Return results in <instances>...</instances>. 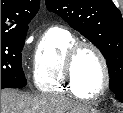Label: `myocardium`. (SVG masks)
<instances>
[{"mask_svg":"<svg viewBox=\"0 0 123 113\" xmlns=\"http://www.w3.org/2000/svg\"><path fill=\"white\" fill-rule=\"evenodd\" d=\"M85 49H90L92 50L99 58L102 68H103V85L101 89L96 92L95 94H83L79 91L76 79H75V74H74V66L76 59L80 55V53L85 50ZM64 71L66 78L71 86V88L78 92L82 98L86 99H96L101 96H103L106 91L108 90L109 83H110V71H109V65L107 62V59L103 53V51L94 43L92 42H87V41H78L76 42L68 51L65 62H64Z\"/></svg>","mask_w":123,"mask_h":113,"instance_id":"f54148a6","label":"myocardium"}]
</instances>
